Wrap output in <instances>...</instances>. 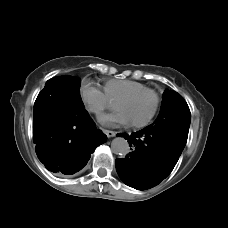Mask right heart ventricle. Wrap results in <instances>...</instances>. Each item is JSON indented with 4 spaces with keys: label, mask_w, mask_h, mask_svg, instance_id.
I'll return each instance as SVG.
<instances>
[{
    "label": "right heart ventricle",
    "mask_w": 228,
    "mask_h": 228,
    "mask_svg": "<svg viewBox=\"0 0 228 228\" xmlns=\"http://www.w3.org/2000/svg\"><path fill=\"white\" fill-rule=\"evenodd\" d=\"M149 89L146 84L133 80H110L104 86L106 96L115 106L125 98Z\"/></svg>",
    "instance_id": "1"
}]
</instances>
